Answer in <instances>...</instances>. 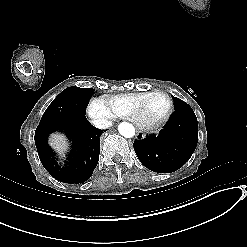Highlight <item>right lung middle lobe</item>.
<instances>
[{"instance_id":"right-lung-middle-lobe-1","label":"right lung middle lobe","mask_w":247,"mask_h":247,"mask_svg":"<svg viewBox=\"0 0 247 247\" xmlns=\"http://www.w3.org/2000/svg\"><path fill=\"white\" fill-rule=\"evenodd\" d=\"M93 92L92 88L76 86L66 88L48 106L40 122L59 117L85 116Z\"/></svg>"}]
</instances>
